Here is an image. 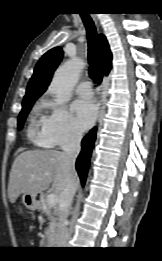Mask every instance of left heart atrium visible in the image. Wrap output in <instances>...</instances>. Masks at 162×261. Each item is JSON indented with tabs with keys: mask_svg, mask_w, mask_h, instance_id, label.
Masks as SVG:
<instances>
[{
	"mask_svg": "<svg viewBox=\"0 0 162 261\" xmlns=\"http://www.w3.org/2000/svg\"><path fill=\"white\" fill-rule=\"evenodd\" d=\"M75 121L79 129L86 130L92 126L97 115V107L91 99H78L73 103Z\"/></svg>",
	"mask_w": 162,
	"mask_h": 261,
	"instance_id": "obj_1",
	"label": "left heart atrium"
}]
</instances>
